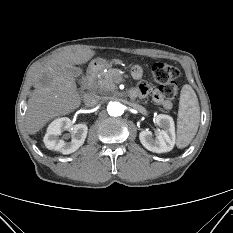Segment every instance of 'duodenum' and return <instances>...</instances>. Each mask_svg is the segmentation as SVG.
<instances>
[{
    "label": "duodenum",
    "instance_id": "duodenum-1",
    "mask_svg": "<svg viewBox=\"0 0 233 233\" xmlns=\"http://www.w3.org/2000/svg\"><path fill=\"white\" fill-rule=\"evenodd\" d=\"M99 66H100V63H98V64H93V65L89 68V70H88V72H87V75H86V77H85V83H84V88H85L86 90H89V89L93 86L94 81H95V77H96V75H97V73H98V71H99ZM130 95H131V93H130ZM133 96H134V94L131 95V97H133Z\"/></svg>",
    "mask_w": 233,
    "mask_h": 233
}]
</instances>
